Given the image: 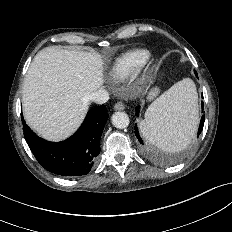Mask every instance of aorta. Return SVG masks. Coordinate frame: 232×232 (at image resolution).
<instances>
[{"label":"aorta","mask_w":232,"mask_h":232,"mask_svg":"<svg viewBox=\"0 0 232 232\" xmlns=\"http://www.w3.org/2000/svg\"><path fill=\"white\" fill-rule=\"evenodd\" d=\"M129 117L125 112H115L112 115V124L118 129H124L129 125Z\"/></svg>","instance_id":"762f6f07"}]
</instances>
